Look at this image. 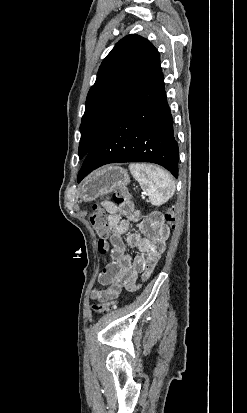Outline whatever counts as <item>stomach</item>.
I'll return each instance as SVG.
<instances>
[{"mask_svg": "<svg viewBox=\"0 0 247 413\" xmlns=\"http://www.w3.org/2000/svg\"><path fill=\"white\" fill-rule=\"evenodd\" d=\"M129 182L130 176L125 168L115 166V164H106L84 178L79 186V198L84 202L96 200L98 196L109 194L119 186H127Z\"/></svg>", "mask_w": 247, "mask_h": 413, "instance_id": "0dacf381", "label": "stomach"}]
</instances>
